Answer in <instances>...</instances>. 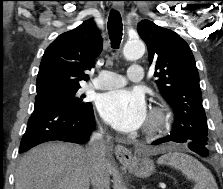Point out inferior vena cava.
I'll list each match as a JSON object with an SVG mask.
<instances>
[{
  "mask_svg": "<svg viewBox=\"0 0 223 189\" xmlns=\"http://www.w3.org/2000/svg\"><path fill=\"white\" fill-rule=\"evenodd\" d=\"M102 130L92 134L86 151L91 160L90 180L93 189H110L106 146Z\"/></svg>",
  "mask_w": 223,
  "mask_h": 189,
  "instance_id": "obj_1",
  "label": "inferior vena cava"
}]
</instances>
